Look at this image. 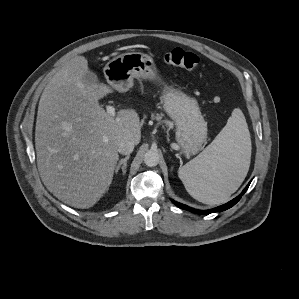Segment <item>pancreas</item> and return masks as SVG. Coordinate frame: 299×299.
<instances>
[{
    "instance_id": "obj_1",
    "label": "pancreas",
    "mask_w": 299,
    "mask_h": 299,
    "mask_svg": "<svg viewBox=\"0 0 299 299\" xmlns=\"http://www.w3.org/2000/svg\"><path fill=\"white\" fill-rule=\"evenodd\" d=\"M152 119H156V120L160 121L162 119V116L159 114H157V115L152 114Z\"/></svg>"
}]
</instances>
